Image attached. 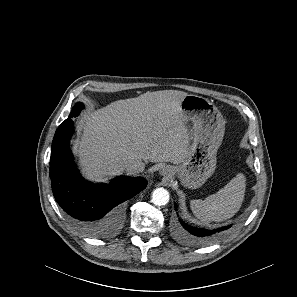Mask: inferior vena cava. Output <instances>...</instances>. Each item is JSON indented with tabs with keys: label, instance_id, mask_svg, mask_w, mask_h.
Instances as JSON below:
<instances>
[{
	"label": "inferior vena cava",
	"instance_id": "inferior-vena-cava-1",
	"mask_svg": "<svg viewBox=\"0 0 297 297\" xmlns=\"http://www.w3.org/2000/svg\"><path fill=\"white\" fill-rule=\"evenodd\" d=\"M124 169L128 173H140L144 170V163L142 160L137 158H131L125 161L124 163Z\"/></svg>",
	"mask_w": 297,
	"mask_h": 297
}]
</instances>
